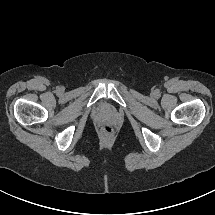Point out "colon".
I'll return each mask as SVG.
<instances>
[{"label":"colon","mask_w":215,"mask_h":215,"mask_svg":"<svg viewBox=\"0 0 215 215\" xmlns=\"http://www.w3.org/2000/svg\"><path fill=\"white\" fill-rule=\"evenodd\" d=\"M103 131L106 133V134H111L112 131H113V127L111 125H105L103 127Z\"/></svg>","instance_id":"obj_1"}]
</instances>
